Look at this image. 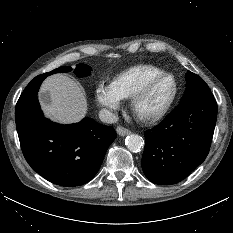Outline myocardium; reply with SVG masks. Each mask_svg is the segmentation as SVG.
I'll use <instances>...</instances> for the list:
<instances>
[{
    "mask_svg": "<svg viewBox=\"0 0 233 233\" xmlns=\"http://www.w3.org/2000/svg\"><path fill=\"white\" fill-rule=\"evenodd\" d=\"M169 78L173 82V91L167 102L164 104V106L154 112V113H143L139 106L141 101L150 93V91L153 89V87L160 82L163 79ZM178 95V82L176 78L170 74V73H163L158 76H155L151 79H149L131 98V109L134 114V116L144 122V123H153L160 119H162L171 109L172 105L174 104L176 98Z\"/></svg>",
    "mask_w": 233,
    "mask_h": 233,
    "instance_id": "f54148a6",
    "label": "myocardium"
}]
</instances>
